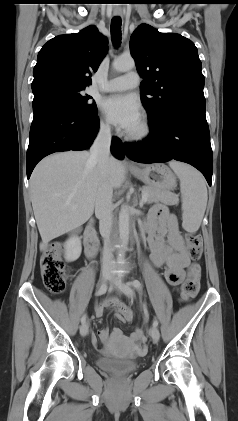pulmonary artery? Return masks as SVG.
I'll use <instances>...</instances> for the list:
<instances>
[{
    "label": "pulmonary artery",
    "instance_id": "e3ab8cb5",
    "mask_svg": "<svg viewBox=\"0 0 238 421\" xmlns=\"http://www.w3.org/2000/svg\"><path fill=\"white\" fill-rule=\"evenodd\" d=\"M139 84V75L136 72H128L122 76L108 80L102 90L106 92L123 91L137 87Z\"/></svg>",
    "mask_w": 238,
    "mask_h": 421
}]
</instances>
